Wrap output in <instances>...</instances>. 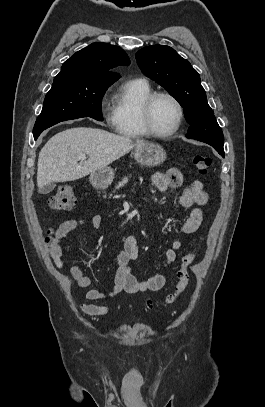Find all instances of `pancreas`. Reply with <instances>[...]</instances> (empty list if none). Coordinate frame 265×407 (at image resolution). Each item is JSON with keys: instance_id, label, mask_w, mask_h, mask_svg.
I'll return each mask as SVG.
<instances>
[{"instance_id": "obj_1", "label": "pancreas", "mask_w": 265, "mask_h": 407, "mask_svg": "<svg viewBox=\"0 0 265 407\" xmlns=\"http://www.w3.org/2000/svg\"><path fill=\"white\" fill-rule=\"evenodd\" d=\"M127 182H128V178H127V177H124V178L118 183V185L115 187V189H119V188L123 187Z\"/></svg>"}]
</instances>
